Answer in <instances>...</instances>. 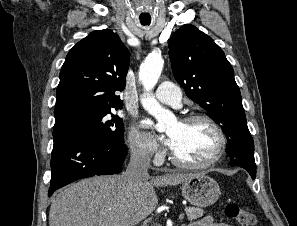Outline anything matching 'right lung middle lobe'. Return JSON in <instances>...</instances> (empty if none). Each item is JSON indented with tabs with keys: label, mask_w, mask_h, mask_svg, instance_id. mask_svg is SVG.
Returning a JSON list of instances; mask_svg holds the SVG:
<instances>
[{
	"label": "right lung middle lobe",
	"mask_w": 297,
	"mask_h": 226,
	"mask_svg": "<svg viewBox=\"0 0 297 226\" xmlns=\"http://www.w3.org/2000/svg\"><path fill=\"white\" fill-rule=\"evenodd\" d=\"M64 129L85 131L114 143L124 142L123 121L112 110L83 111L56 120L54 131Z\"/></svg>",
	"instance_id": "dd1d6c3e"
}]
</instances>
